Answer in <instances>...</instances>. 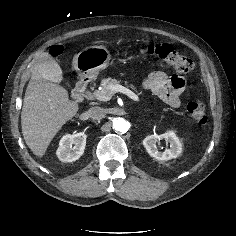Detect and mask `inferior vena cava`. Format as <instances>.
<instances>
[{"instance_id": "1", "label": "inferior vena cava", "mask_w": 236, "mask_h": 236, "mask_svg": "<svg viewBox=\"0 0 236 236\" xmlns=\"http://www.w3.org/2000/svg\"><path fill=\"white\" fill-rule=\"evenodd\" d=\"M105 115H106V109L102 107L95 106V107H91L88 110V116L95 120L102 119L105 117Z\"/></svg>"}]
</instances>
